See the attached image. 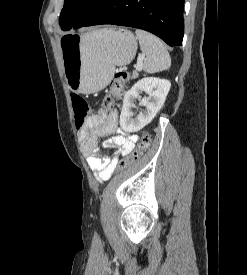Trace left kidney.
I'll list each match as a JSON object with an SVG mask.
<instances>
[{
  "mask_svg": "<svg viewBox=\"0 0 247 275\" xmlns=\"http://www.w3.org/2000/svg\"><path fill=\"white\" fill-rule=\"evenodd\" d=\"M171 83L166 79L145 77L139 80L126 92L120 114V127L125 132H137L149 124L162 108ZM145 92L149 97L141 99L140 94ZM138 99L145 110L138 115L132 111Z\"/></svg>",
  "mask_w": 247,
  "mask_h": 275,
  "instance_id": "5707ae66",
  "label": "left kidney"
}]
</instances>
